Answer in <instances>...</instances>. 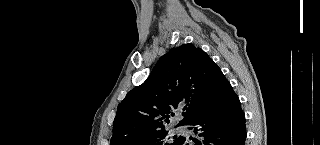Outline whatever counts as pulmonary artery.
I'll list each match as a JSON object with an SVG mask.
<instances>
[{"instance_id": "1", "label": "pulmonary artery", "mask_w": 320, "mask_h": 145, "mask_svg": "<svg viewBox=\"0 0 320 145\" xmlns=\"http://www.w3.org/2000/svg\"><path fill=\"white\" fill-rule=\"evenodd\" d=\"M177 130H181L182 131L183 129L181 127H179V128H177Z\"/></svg>"}]
</instances>
